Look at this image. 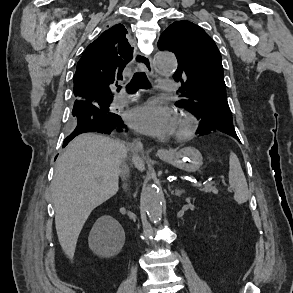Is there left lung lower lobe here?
I'll return each instance as SVG.
<instances>
[{"mask_svg": "<svg viewBox=\"0 0 293 293\" xmlns=\"http://www.w3.org/2000/svg\"><path fill=\"white\" fill-rule=\"evenodd\" d=\"M222 131L224 133H227L228 135H231L232 137L238 139V141L240 142L236 132H235V129H228V128H224V129H218V128H211V129H205V128H201L197 133H200V134H205V133H209L211 131Z\"/></svg>", "mask_w": 293, "mask_h": 293, "instance_id": "0a47b994", "label": "left lung lower lobe"}]
</instances>
